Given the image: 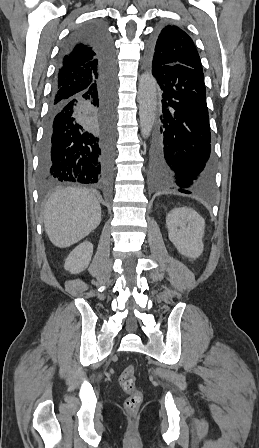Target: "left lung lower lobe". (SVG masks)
Returning <instances> with one entry per match:
<instances>
[{
	"instance_id": "obj_1",
	"label": "left lung lower lobe",
	"mask_w": 259,
	"mask_h": 448,
	"mask_svg": "<svg viewBox=\"0 0 259 448\" xmlns=\"http://www.w3.org/2000/svg\"><path fill=\"white\" fill-rule=\"evenodd\" d=\"M162 111L151 149L150 177L160 191L206 194L213 189L215 160L204 74L174 64L154 66Z\"/></svg>"
}]
</instances>
